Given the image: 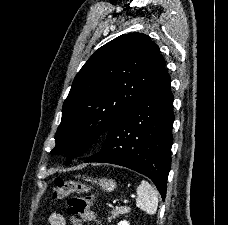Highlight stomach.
<instances>
[{"instance_id":"obj_1","label":"stomach","mask_w":228,"mask_h":225,"mask_svg":"<svg viewBox=\"0 0 228 225\" xmlns=\"http://www.w3.org/2000/svg\"><path fill=\"white\" fill-rule=\"evenodd\" d=\"M92 183H96V185H98L100 189H103V191H106V193H112V191L116 189V183L112 181V179H95Z\"/></svg>"}]
</instances>
